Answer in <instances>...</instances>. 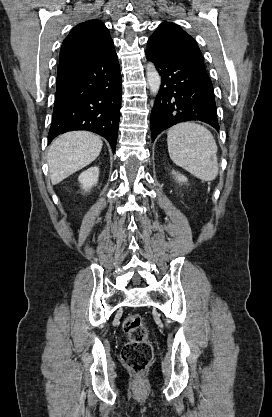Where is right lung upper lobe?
<instances>
[{"instance_id": "cb5924a9", "label": "right lung upper lobe", "mask_w": 272, "mask_h": 417, "mask_svg": "<svg viewBox=\"0 0 272 417\" xmlns=\"http://www.w3.org/2000/svg\"><path fill=\"white\" fill-rule=\"evenodd\" d=\"M112 42L108 29L101 21L89 20L80 23L63 41L59 64L95 58Z\"/></svg>"}]
</instances>
